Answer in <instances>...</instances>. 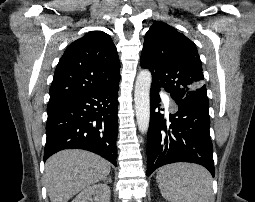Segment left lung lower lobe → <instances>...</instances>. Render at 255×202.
I'll list each match as a JSON object with an SVG mask.
<instances>
[{
	"label": "left lung lower lobe",
	"instance_id": "left-lung-lower-lobe-1",
	"mask_svg": "<svg viewBox=\"0 0 255 202\" xmlns=\"http://www.w3.org/2000/svg\"><path fill=\"white\" fill-rule=\"evenodd\" d=\"M159 90H150V125L147 136V176L160 166L175 162H191L206 167L215 175L213 147L209 133V107L174 100L178 111L169 115L155 112Z\"/></svg>",
	"mask_w": 255,
	"mask_h": 202
}]
</instances>
